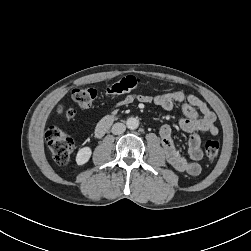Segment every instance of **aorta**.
<instances>
[{
  "label": "aorta",
  "instance_id": "762f6f07",
  "mask_svg": "<svg viewBox=\"0 0 251 251\" xmlns=\"http://www.w3.org/2000/svg\"><path fill=\"white\" fill-rule=\"evenodd\" d=\"M127 128L130 130H135L139 126V120L134 117H130L126 121Z\"/></svg>",
  "mask_w": 251,
  "mask_h": 251
}]
</instances>
